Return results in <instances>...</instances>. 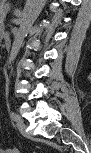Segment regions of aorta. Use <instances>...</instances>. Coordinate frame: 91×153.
I'll return each instance as SVG.
<instances>
[{"mask_svg":"<svg viewBox=\"0 0 91 153\" xmlns=\"http://www.w3.org/2000/svg\"><path fill=\"white\" fill-rule=\"evenodd\" d=\"M45 4V0H28L25 8L24 17L20 24L19 30L15 39L13 41V45L10 51V55L8 58V68L10 67L11 63L15 60L16 56L18 55L20 48L23 44L24 38L26 37L30 27L39 16L40 12L43 9Z\"/></svg>","mask_w":91,"mask_h":153,"instance_id":"1","label":"aorta"}]
</instances>
